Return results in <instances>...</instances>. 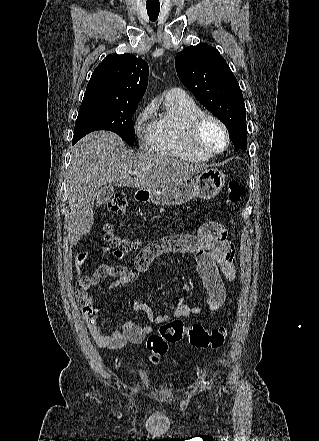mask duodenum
Segmentation results:
<instances>
[{
    "mask_svg": "<svg viewBox=\"0 0 319 441\" xmlns=\"http://www.w3.org/2000/svg\"><path fill=\"white\" fill-rule=\"evenodd\" d=\"M148 196H149V194H148L146 191H140V192L137 194V198H138L139 200H147V199H148Z\"/></svg>",
    "mask_w": 319,
    "mask_h": 441,
    "instance_id": "obj_1",
    "label": "duodenum"
}]
</instances>
